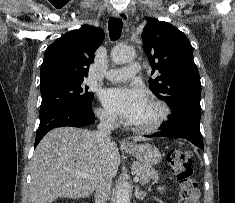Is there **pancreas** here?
Listing matches in <instances>:
<instances>
[{"instance_id":"1","label":"pancreas","mask_w":235,"mask_h":203,"mask_svg":"<svg viewBox=\"0 0 235 203\" xmlns=\"http://www.w3.org/2000/svg\"><path fill=\"white\" fill-rule=\"evenodd\" d=\"M132 170L139 177V181L142 184L148 183L150 179L158 180L159 178L158 171H156L151 166L134 163L132 165Z\"/></svg>"}]
</instances>
